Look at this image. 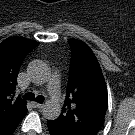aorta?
<instances>
[{
	"label": "aorta",
	"instance_id": "obj_1",
	"mask_svg": "<svg viewBox=\"0 0 135 135\" xmlns=\"http://www.w3.org/2000/svg\"><path fill=\"white\" fill-rule=\"evenodd\" d=\"M28 71L35 82H45L49 76L48 66L40 60H35L30 63ZM61 113L59 104L53 101H47L43 107V116L48 120H55Z\"/></svg>",
	"mask_w": 135,
	"mask_h": 135
}]
</instances>
